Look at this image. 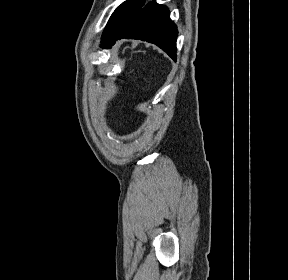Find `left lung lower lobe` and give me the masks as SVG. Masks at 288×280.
Segmentation results:
<instances>
[{
    "instance_id": "0a47b994",
    "label": "left lung lower lobe",
    "mask_w": 288,
    "mask_h": 280,
    "mask_svg": "<svg viewBox=\"0 0 288 280\" xmlns=\"http://www.w3.org/2000/svg\"><path fill=\"white\" fill-rule=\"evenodd\" d=\"M178 30L171 22L166 6L155 1L144 3L125 22L118 33L102 47L110 48L116 40L137 39L153 43L176 61Z\"/></svg>"
}]
</instances>
